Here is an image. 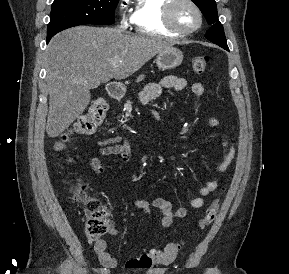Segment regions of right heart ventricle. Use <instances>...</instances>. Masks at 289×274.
<instances>
[{
	"label": "right heart ventricle",
	"instance_id": "obj_1",
	"mask_svg": "<svg viewBox=\"0 0 289 274\" xmlns=\"http://www.w3.org/2000/svg\"><path fill=\"white\" fill-rule=\"evenodd\" d=\"M169 0H135L130 21L135 30L148 35L177 37L163 23V10Z\"/></svg>",
	"mask_w": 289,
	"mask_h": 274
}]
</instances>
